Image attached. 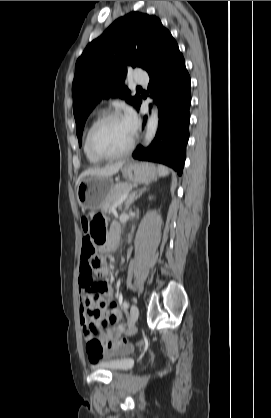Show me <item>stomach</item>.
<instances>
[{"mask_svg":"<svg viewBox=\"0 0 271 418\" xmlns=\"http://www.w3.org/2000/svg\"><path fill=\"white\" fill-rule=\"evenodd\" d=\"M123 177L131 184L149 183L156 179L158 170L151 163H125L121 169ZM113 188L109 177L87 176L77 187V201L82 210H97L102 207Z\"/></svg>","mask_w":271,"mask_h":418,"instance_id":"obj_1","label":"stomach"}]
</instances>
